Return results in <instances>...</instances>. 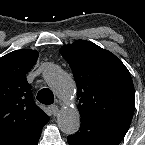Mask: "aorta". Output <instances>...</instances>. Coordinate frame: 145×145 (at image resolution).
<instances>
[{"instance_id":"obj_1","label":"aorta","mask_w":145,"mask_h":145,"mask_svg":"<svg viewBox=\"0 0 145 145\" xmlns=\"http://www.w3.org/2000/svg\"><path fill=\"white\" fill-rule=\"evenodd\" d=\"M44 80L63 100H69L75 93L72 78L59 66L50 64L43 72ZM58 126L66 135L75 134L80 128V115L76 108L64 107L58 115Z\"/></svg>"}]
</instances>
